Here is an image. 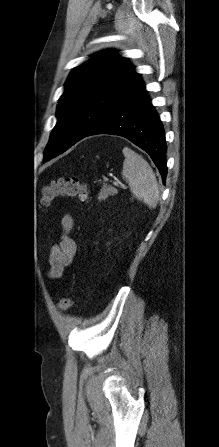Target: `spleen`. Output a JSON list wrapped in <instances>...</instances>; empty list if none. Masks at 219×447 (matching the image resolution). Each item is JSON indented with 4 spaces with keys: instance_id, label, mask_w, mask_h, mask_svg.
Wrapping results in <instances>:
<instances>
[{
    "instance_id": "spleen-1",
    "label": "spleen",
    "mask_w": 219,
    "mask_h": 447,
    "mask_svg": "<svg viewBox=\"0 0 219 447\" xmlns=\"http://www.w3.org/2000/svg\"><path fill=\"white\" fill-rule=\"evenodd\" d=\"M122 176L129 183L132 194L143 201L149 208H155L159 200V189L156 177L147 161L133 150H123Z\"/></svg>"
}]
</instances>
